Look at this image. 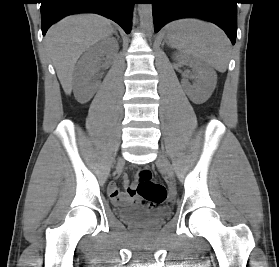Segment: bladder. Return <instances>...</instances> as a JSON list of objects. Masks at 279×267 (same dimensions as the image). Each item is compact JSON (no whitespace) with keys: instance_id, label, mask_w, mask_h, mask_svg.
I'll list each match as a JSON object with an SVG mask.
<instances>
[{"instance_id":"bladder-1","label":"bladder","mask_w":279,"mask_h":267,"mask_svg":"<svg viewBox=\"0 0 279 267\" xmlns=\"http://www.w3.org/2000/svg\"><path fill=\"white\" fill-rule=\"evenodd\" d=\"M121 216L130 223L137 225H155L167 218V213H161L154 216H147L143 212L132 209H123Z\"/></svg>"}]
</instances>
